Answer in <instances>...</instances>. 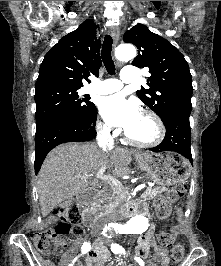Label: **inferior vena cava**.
Returning <instances> with one entry per match:
<instances>
[{
  "label": "inferior vena cava",
  "instance_id": "602c4592",
  "mask_svg": "<svg viewBox=\"0 0 221 266\" xmlns=\"http://www.w3.org/2000/svg\"><path fill=\"white\" fill-rule=\"evenodd\" d=\"M97 142L100 148L104 152L111 150L113 147V138L110 135V130L107 128L100 129L97 134ZM110 214H114V212H109L104 218H101L97 222V227L102 228L106 225V223L111 220Z\"/></svg>",
  "mask_w": 221,
  "mask_h": 266
}]
</instances>
